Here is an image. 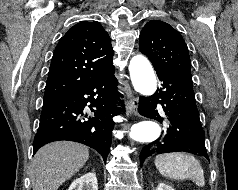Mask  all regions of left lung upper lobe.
Listing matches in <instances>:
<instances>
[{
    "label": "left lung upper lobe",
    "mask_w": 238,
    "mask_h": 190,
    "mask_svg": "<svg viewBox=\"0 0 238 190\" xmlns=\"http://www.w3.org/2000/svg\"><path fill=\"white\" fill-rule=\"evenodd\" d=\"M140 51L152 62L155 70H165L192 78L189 51L181 34L171 25L149 21L140 33Z\"/></svg>",
    "instance_id": "obj_1"
}]
</instances>
